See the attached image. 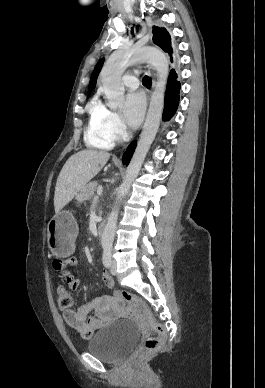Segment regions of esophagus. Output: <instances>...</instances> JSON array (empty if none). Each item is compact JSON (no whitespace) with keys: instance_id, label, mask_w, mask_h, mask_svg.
<instances>
[{"instance_id":"34e87169","label":"esophagus","mask_w":265,"mask_h":388,"mask_svg":"<svg viewBox=\"0 0 265 388\" xmlns=\"http://www.w3.org/2000/svg\"><path fill=\"white\" fill-rule=\"evenodd\" d=\"M145 70H147L149 73L151 72V67L149 65H144Z\"/></svg>"}]
</instances>
